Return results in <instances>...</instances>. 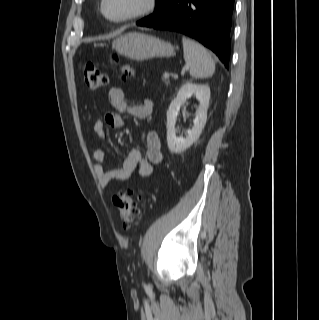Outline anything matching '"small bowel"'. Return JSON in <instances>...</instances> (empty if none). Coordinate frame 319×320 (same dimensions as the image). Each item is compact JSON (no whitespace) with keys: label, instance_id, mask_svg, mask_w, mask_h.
<instances>
[{"label":"small bowel","instance_id":"obj_1","mask_svg":"<svg viewBox=\"0 0 319 320\" xmlns=\"http://www.w3.org/2000/svg\"><path fill=\"white\" fill-rule=\"evenodd\" d=\"M108 97L115 111L107 112L104 120L95 121L93 131L99 139L105 140L108 138L107 127L113 129L123 127L125 114L138 119H146L152 114L151 100L147 99L140 105L128 104L125 93L120 87H112ZM146 142L144 154L139 149H130L121 166L117 168L104 169L103 164L110 160V154L103 149L94 150L92 162L99 185L102 188H107L114 180L126 181L135 170L141 177H150L153 167L162 159L161 143L155 131L148 132Z\"/></svg>","mask_w":319,"mask_h":320}]
</instances>
